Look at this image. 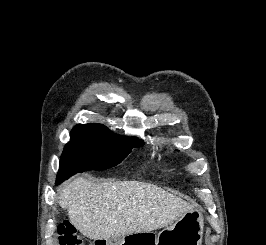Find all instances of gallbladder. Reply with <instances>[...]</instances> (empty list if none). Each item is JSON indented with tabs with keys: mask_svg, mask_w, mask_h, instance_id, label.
<instances>
[{
	"mask_svg": "<svg viewBox=\"0 0 266 245\" xmlns=\"http://www.w3.org/2000/svg\"><path fill=\"white\" fill-rule=\"evenodd\" d=\"M120 239H122V237H117V239H115V241H113V243H115V245H118Z\"/></svg>",
	"mask_w": 266,
	"mask_h": 245,
	"instance_id": "1",
	"label": "gallbladder"
}]
</instances>
